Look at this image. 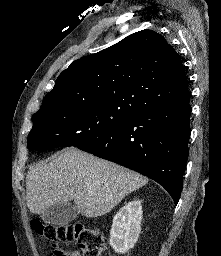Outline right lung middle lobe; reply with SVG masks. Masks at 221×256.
Returning a JSON list of instances; mask_svg holds the SVG:
<instances>
[{"label": "right lung middle lobe", "instance_id": "right-lung-middle-lobe-1", "mask_svg": "<svg viewBox=\"0 0 221 256\" xmlns=\"http://www.w3.org/2000/svg\"><path fill=\"white\" fill-rule=\"evenodd\" d=\"M137 115L128 108L86 104L32 117L27 144L31 150L79 146Z\"/></svg>", "mask_w": 221, "mask_h": 256}]
</instances>
